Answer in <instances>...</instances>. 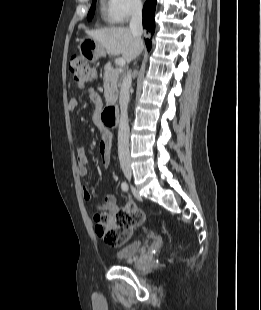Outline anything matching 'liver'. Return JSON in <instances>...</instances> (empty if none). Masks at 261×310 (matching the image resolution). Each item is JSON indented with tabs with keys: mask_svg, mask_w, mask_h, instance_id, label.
Segmentation results:
<instances>
[{
	"mask_svg": "<svg viewBox=\"0 0 261 310\" xmlns=\"http://www.w3.org/2000/svg\"><path fill=\"white\" fill-rule=\"evenodd\" d=\"M87 34L109 54L114 56L121 54L127 63L135 59L143 49V42L138 41L127 27L93 30Z\"/></svg>",
	"mask_w": 261,
	"mask_h": 310,
	"instance_id": "liver-1",
	"label": "liver"
}]
</instances>
